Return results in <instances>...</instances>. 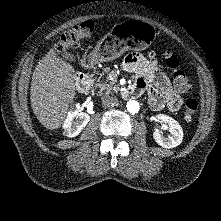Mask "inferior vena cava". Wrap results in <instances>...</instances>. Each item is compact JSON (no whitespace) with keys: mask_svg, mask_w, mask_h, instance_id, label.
<instances>
[{"mask_svg":"<svg viewBox=\"0 0 221 221\" xmlns=\"http://www.w3.org/2000/svg\"><path fill=\"white\" fill-rule=\"evenodd\" d=\"M117 104H118V100L117 98L113 96L105 95L102 97V105L106 108L114 107Z\"/></svg>","mask_w":221,"mask_h":221,"instance_id":"inferior-vena-cava-1","label":"inferior vena cava"}]
</instances>
